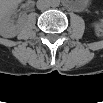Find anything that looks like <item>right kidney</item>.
Returning <instances> with one entry per match:
<instances>
[{
  "label": "right kidney",
  "mask_w": 103,
  "mask_h": 103,
  "mask_svg": "<svg viewBox=\"0 0 103 103\" xmlns=\"http://www.w3.org/2000/svg\"><path fill=\"white\" fill-rule=\"evenodd\" d=\"M19 1L7 0L0 7V34L6 38L15 37L20 30V21L17 24L11 19L18 7Z\"/></svg>",
  "instance_id": "obj_1"
}]
</instances>
